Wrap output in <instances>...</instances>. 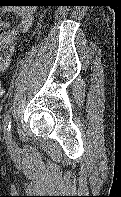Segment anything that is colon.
<instances>
[{
  "label": "colon",
  "instance_id": "1",
  "mask_svg": "<svg viewBox=\"0 0 121 197\" xmlns=\"http://www.w3.org/2000/svg\"><path fill=\"white\" fill-rule=\"evenodd\" d=\"M3 94H4V90H3L2 82L0 80V97L3 96Z\"/></svg>",
  "mask_w": 121,
  "mask_h": 197
}]
</instances>
